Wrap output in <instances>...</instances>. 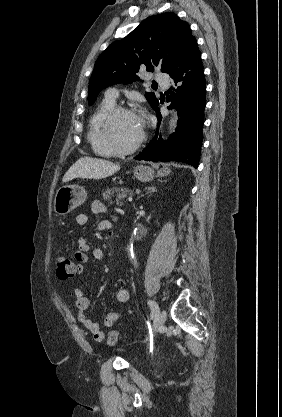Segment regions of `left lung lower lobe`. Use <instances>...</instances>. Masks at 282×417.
I'll return each instance as SVG.
<instances>
[{"mask_svg": "<svg viewBox=\"0 0 282 417\" xmlns=\"http://www.w3.org/2000/svg\"><path fill=\"white\" fill-rule=\"evenodd\" d=\"M166 73L171 76L174 85L170 88L172 94L167 96V101H172L170 107L177 108L180 117L176 132L167 141L159 136L162 117L157 103L153 107L158 117L156 135L134 159L179 161L197 168L203 139L206 80L196 39L188 43Z\"/></svg>", "mask_w": 282, "mask_h": 417, "instance_id": "0a47b994", "label": "left lung lower lobe"}]
</instances>
